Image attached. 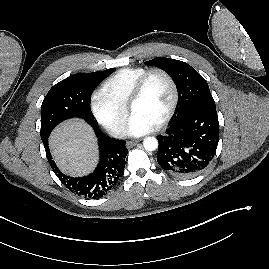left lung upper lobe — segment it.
I'll return each mask as SVG.
<instances>
[{"instance_id": "1", "label": "left lung upper lobe", "mask_w": 269, "mask_h": 269, "mask_svg": "<svg viewBox=\"0 0 269 269\" xmlns=\"http://www.w3.org/2000/svg\"><path fill=\"white\" fill-rule=\"evenodd\" d=\"M145 64L157 66L172 76L180 98L177 119L195 109H216L206 80L189 64L164 57H157Z\"/></svg>"}]
</instances>
